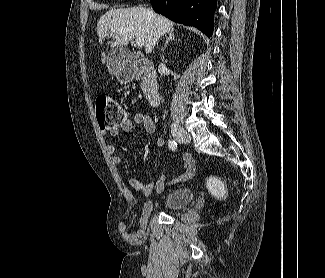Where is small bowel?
Returning a JSON list of instances; mask_svg holds the SVG:
<instances>
[{
  "label": "small bowel",
  "mask_w": 325,
  "mask_h": 278,
  "mask_svg": "<svg viewBox=\"0 0 325 278\" xmlns=\"http://www.w3.org/2000/svg\"><path fill=\"white\" fill-rule=\"evenodd\" d=\"M135 123L143 125L147 134L153 135L155 133L156 125H155L153 118L146 113L139 112L134 115V118L132 120L127 119L119 127L109 130V131L104 130V131H102V134L105 136L110 135V136L116 137L122 133H129L133 130ZM156 144L159 148H162L165 145V141H164V139L159 138L157 140ZM107 151L111 155V159L114 164L118 165L121 163V157L118 154V146L116 144H113V143L108 144ZM183 164H184V169H185L184 173L178 175L177 177L173 178L169 182L167 181L165 175L161 174L155 182L150 183L148 185H142L137 179H131L130 185L133 188H135L145 194H148V193L152 192L153 190H155L157 193H161L167 184L173 185V184L185 182L194 176L195 164H194V161L192 160V157L189 153L183 154Z\"/></svg>",
  "instance_id": "c3829d8e"
}]
</instances>
